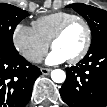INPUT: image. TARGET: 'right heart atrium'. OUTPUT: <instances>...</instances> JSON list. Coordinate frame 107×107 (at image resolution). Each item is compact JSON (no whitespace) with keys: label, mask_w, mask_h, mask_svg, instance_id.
Returning a JSON list of instances; mask_svg holds the SVG:
<instances>
[{"label":"right heart atrium","mask_w":107,"mask_h":107,"mask_svg":"<svg viewBox=\"0 0 107 107\" xmlns=\"http://www.w3.org/2000/svg\"><path fill=\"white\" fill-rule=\"evenodd\" d=\"M12 41L16 50L31 63L40 62L49 48V44L37 35L33 27L22 23L15 26Z\"/></svg>","instance_id":"right-heart-atrium-1"}]
</instances>
